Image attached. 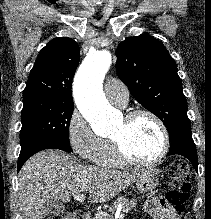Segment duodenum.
<instances>
[{
    "mask_svg": "<svg viewBox=\"0 0 211 219\" xmlns=\"http://www.w3.org/2000/svg\"><path fill=\"white\" fill-rule=\"evenodd\" d=\"M75 214V219H92L90 214H87V213H81L79 211H75L73 212Z\"/></svg>",
    "mask_w": 211,
    "mask_h": 219,
    "instance_id": "duodenum-1",
    "label": "duodenum"
}]
</instances>
